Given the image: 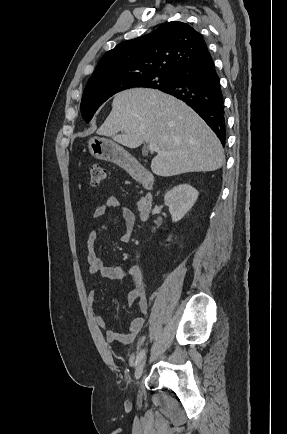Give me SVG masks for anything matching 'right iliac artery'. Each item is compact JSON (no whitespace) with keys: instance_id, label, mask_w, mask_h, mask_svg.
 <instances>
[{"instance_id":"1","label":"right iliac artery","mask_w":287,"mask_h":434,"mask_svg":"<svg viewBox=\"0 0 287 434\" xmlns=\"http://www.w3.org/2000/svg\"><path fill=\"white\" fill-rule=\"evenodd\" d=\"M145 353H146V350H145V349L141 350V351L138 353V355H137V357H136V363H139V362L143 359V357L145 356Z\"/></svg>"}]
</instances>
